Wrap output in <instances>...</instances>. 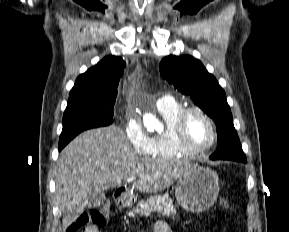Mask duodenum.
I'll list each match as a JSON object with an SVG mask.
<instances>
[{"label":"duodenum","instance_id":"410a0bca","mask_svg":"<svg viewBox=\"0 0 289 232\" xmlns=\"http://www.w3.org/2000/svg\"><path fill=\"white\" fill-rule=\"evenodd\" d=\"M114 200L119 207H124L131 202V197L126 190L118 189L114 193Z\"/></svg>","mask_w":289,"mask_h":232}]
</instances>
